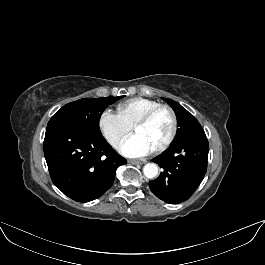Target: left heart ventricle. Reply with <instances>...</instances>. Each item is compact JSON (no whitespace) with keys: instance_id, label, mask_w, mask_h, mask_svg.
I'll return each instance as SVG.
<instances>
[{"instance_id":"left-heart-ventricle-1","label":"left heart ventricle","mask_w":265,"mask_h":265,"mask_svg":"<svg viewBox=\"0 0 265 265\" xmlns=\"http://www.w3.org/2000/svg\"><path fill=\"white\" fill-rule=\"evenodd\" d=\"M172 126L171 116L166 111L157 113L148 123L135 129L151 147L155 149L160 146L168 137Z\"/></svg>"}]
</instances>
